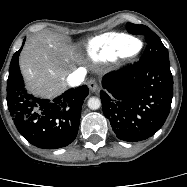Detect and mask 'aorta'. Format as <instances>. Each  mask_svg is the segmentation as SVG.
Segmentation results:
<instances>
[{"instance_id":"aorta-1","label":"aorta","mask_w":187,"mask_h":187,"mask_svg":"<svg viewBox=\"0 0 187 187\" xmlns=\"http://www.w3.org/2000/svg\"><path fill=\"white\" fill-rule=\"evenodd\" d=\"M101 106V101L99 98L97 97H91L89 98L88 100V107L91 109V110H97L99 109Z\"/></svg>"}]
</instances>
